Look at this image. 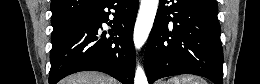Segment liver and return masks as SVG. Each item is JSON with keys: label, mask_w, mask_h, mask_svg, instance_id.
<instances>
[{"label": "liver", "mask_w": 260, "mask_h": 84, "mask_svg": "<svg viewBox=\"0 0 260 84\" xmlns=\"http://www.w3.org/2000/svg\"><path fill=\"white\" fill-rule=\"evenodd\" d=\"M62 84H117V81L103 73L85 71L70 75Z\"/></svg>", "instance_id": "1"}]
</instances>
